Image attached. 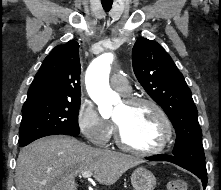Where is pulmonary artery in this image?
I'll list each match as a JSON object with an SVG mask.
<instances>
[{"label": "pulmonary artery", "mask_w": 221, "mask_h": 190, "mask_svg": "<svg viewBox=\"0 0 221 190\" xmlns=\"http://www.w3.org/2000/svg\"><path fill=\"white\" fill-rule=\"evenodd\" d=\"M110 82L114 89H116L124 95L129 94V92L131 91L128 79L122 72L114 73L111 76Z\"/></svg>", "instance_id": "e3ab8cb5"}]
</instances>
